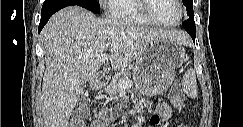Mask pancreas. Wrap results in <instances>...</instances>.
Returning <instances> with one entry per match:
<instances>
[{
    "label": "pancreas",
    "mask_w": 243,
    "mask_h": 127,
    "mask_svg": "<svg viewBox=\"0 0 243 127\" xmlns=\"http://www.w3.org/2000/svg\"><path fill=\"white\" fill-rule=\"evenodd\" d=\"M131 76L130 69H123L112 77V80L106 88L109 98L117 99L118 92L123 88V82L129 81Z\"/></svg>",
    "instance_id": "obj_1"
}]
</instances>
